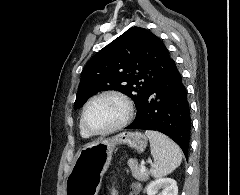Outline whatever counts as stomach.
Returning <instances> with one entry per match:
<instances>
[{"label":"stomach","instance_id":"0dacf381","mask_svg":"<svg viewBox=\"0 0 240 195\" xmlns=\"http://www.w3.org/2000/svg\"><path fill=\"white\" fill-rule=\"evenodd\" d=\"M117 143H125L139 153L145 151L147 137L141 131H122L114 137H100L78 149L66 179L67 195H97Z\"/></svg>","mask_w":240,"mask_h":195}]
</instances>
